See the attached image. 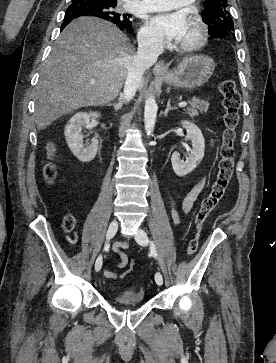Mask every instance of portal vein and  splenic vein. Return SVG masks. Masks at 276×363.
Masks as SVG:
<instances>
[{"instance_id":"18ae733b","label":"portal vein and splenic vein","mask_w":276,"mask_h":363,"mask_svg":"<svg viewBox=\"0 0 276 363\" xmlns=\"http://www.w3.org/2000/svg\"><path fill=\"white\" fill-rule=\"evenodd\" d=\"M187 105V103L186 102H180L179 104H178V106L179 107H185Z\"/></svg>"}]
</instances>
